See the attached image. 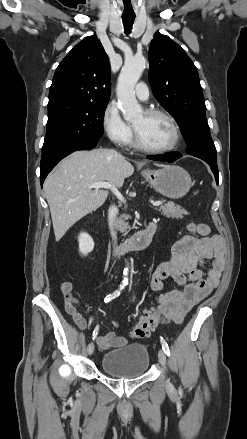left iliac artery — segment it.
Returning <instances> with one entry per match:
<instances>
[{
  "mask_svg": "<svg viewBox=\"0 0 247 439\" xmlns=\"http://www.w3.org/2000/svg\"><path fill=\"white\" fill-rule=\"evenodd\" d=\"M161 344H162V349H163V351L165 352V354L167 355V356H170V350H169V346H168V344L166 343V341L161 337Z\"/></svg>",
  "mask_w": 247,
  "mask_h": 439,
  "instance_id": "44dca946",
  "label": "left iliac artery"
}]
</instances>
